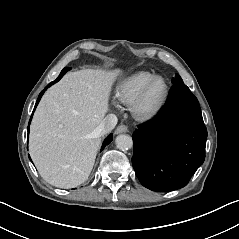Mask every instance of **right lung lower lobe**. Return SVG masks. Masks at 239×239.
Masks as SVG:
<instances>
[{"label":"right lung lower lobe","mask_w":239,"mask_h":239,"mask_svg":"<svg viewBox=\"0 0 239 239\" xmlns=\"http://www.w3.org/2000/svg\"><path fill=\"white\" fill-rule=\"evenodd\" d=\"M70 69H71L70 67H65V68L61 71V73H60V75L58 76V78H57L55 81L51 82L48 86L45 87V89L40 93V95H39V97H38V99H37L35 108H36V106L38 105V103H39V101H40V99H41L43 93L45 92V90H46L48 87H50L51 85H53L54 83L58 82V81L62 78V76H63L67 71H69ZM35 108H34V110H35ZM34 110H33V112H34ZM31 118H32V116H31ZM30 121H31V119H30ZM112 139H113V134H110V135L104 140L103 145H102V148H101V151L103 150V148H104L106 145H108V144L112 141Z\"/></svg>","instance_id":"obj_1"}]
</instances>
